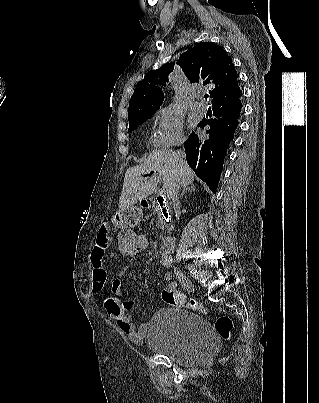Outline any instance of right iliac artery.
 Wrapping results in <instances>:
<instances>
[{"label": "right iliac artery", "instance_id": "82829eb1", "mask_svg": "<svg viewBox=\"0 0 319 403\" xmlns=\"http://www.w3.org/2000/svg\"><path fill=\"white\" fill-rule=\"evenodd\" d=\"M166 280L170 281L172 279V274L171 273H167L165 276ZM173 288L176 286V283H172Z\"/></svg>", "mask_w": 319, "mask_h": 403}]
</instances>
